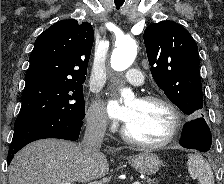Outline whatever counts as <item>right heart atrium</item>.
Segmentation results:
<instances>
[{
  "instance_id": "obj_1",
  "label": "right heart atrium",
  "mask_w": 224,
  "mask_h": 184,
  "mask_svg": "<svg viewBox=\"0 0 224 184\" xmlns=\"http://www.w3.org/2000/svg\"><path fill=\"white\" fill-rule=\"evenodd\" d=\"M87 125L98 132H103L107 127V118L100 102L95 101L91 104L86 113Z\"/></svg>"
}]
</instances>
